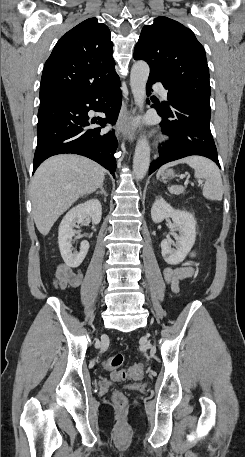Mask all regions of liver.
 Listing matches in <instances>:
<instances>
[{
  "label": "liver",
  "mask_w": 245,
  "mask_h": 457,
  "mask_svg": "<svg viewBox=\"0 0 245 457\" xmlns=\"http://www.w3.org/2000/svg\"><path fill=\"white\" fill-rule=\"evenodd\" d=\"M105 168L79 154H57L38 166L31 184L32 214L41 235L79 196L90 194L104 182Z\"/></svg>",
  "instance_id": "liver-1"
}]
</instances>
